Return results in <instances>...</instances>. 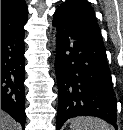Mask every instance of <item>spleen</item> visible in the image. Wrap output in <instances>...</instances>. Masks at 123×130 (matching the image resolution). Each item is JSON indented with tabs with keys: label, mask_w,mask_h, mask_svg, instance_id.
I'll return each mask as SVG.
<instances>
[{
	"label": "spleen",
	"mask_w": 123,
	"mask_h": 130,
	"mask_svg": "<svg viewBox=\"0 0 123 130\" xmlns=\"http://www.w3.org/2000/svg\"><path fill=\"white\" fill-rule=\"evenodd\" d=\"M70 130H112V128L100 118L79 116L71 120Z\"/></svg>",
	"instance_id": "3e777b00"
}]
</instances>
